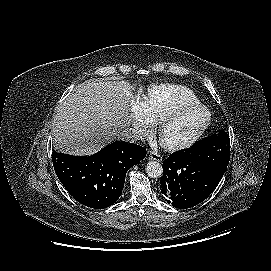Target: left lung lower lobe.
Instances as JSON below:
<instances>
[{"label": "left lung lower lobe", "instance_id": "1", "mask_svg": "<svg viewBox=\"0 0 271 271\" xmlns=\"http://www.w3.org/2000/svg\"><path fill=\"white\" fill-rule=\"evenodd\" d=\"M202 141L212 142L221 133ZM224 172L214 168L183 150L172 153L163 163L160 189L168 203L185 209L204 201L217 187Z\"/></svg>", "mask_w": 271, "mask_h": 271}]
</instances>
